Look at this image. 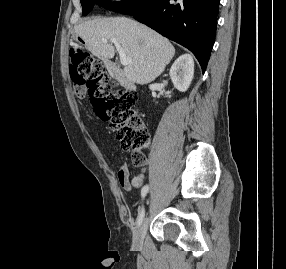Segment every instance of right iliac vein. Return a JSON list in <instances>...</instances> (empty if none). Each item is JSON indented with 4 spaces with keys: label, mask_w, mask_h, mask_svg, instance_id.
<instances>
[{
    "label": "right iliac vein",
    "mask_w": 286,
    "mask_h": 269,
    "mask_svg": "<svg viewBox=\"0 0 286 269\" xmlns=\"http://www.w3.org/2000/svg\"><path fill=\"white\" fill-rule=\"evenodd\" d=\"M148 218H145L144 221L140 224V226L136 229L133 235V247L135 249L142 248L144 236L146 234L147 226H148Z\"/></svg>",
    "instance_id": "obj_1"
}]
</instances>
